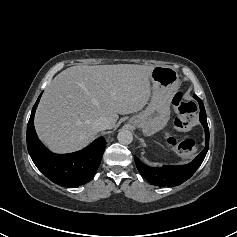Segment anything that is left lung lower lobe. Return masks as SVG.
Wrapping results in <instances>:
<instances>
[{
  "mask_svg": "<svg viewBox=\"0 0 237 237\" xmlns=\"http://www.w3.org/2000/svg\"><path fill=\"white\" fill-rule=\"evenodd\" d=\"M194 98L201 101L196 95H194ZM200 122L205 129V148L191 163L182 166H162L160 168H152L143 164L135 156L136 166L142 176L153 185L168 187L180 185L189 179L202 164L209 148V129L203 104L200 105Z\"/></svg>",
  "mask_w": 237,
  "mask_h": 237,
  "instance_id": "0a47b994",
  "label": "left lung lower lobe"
}]
</instances>
